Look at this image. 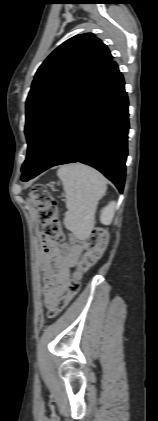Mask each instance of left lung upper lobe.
Wrapping results in <instances>:
<instances>
[{"instance_id": "left-lung-upper-lobe-1", "label": "left lung upper lobe", "mask_w": 158, "mask_h": 421, "mask_svg": "<svg viewBox=\"0 0 158 421\" xmlns=\"http://www.w3.org/2000/svg\"><path fill=\"white\" fill-rule=\"evenodd\" d=\"M110 51L92 33L76 35L39 67L26 101L28 151L22 172L34 160L50 126L95 73L112 59Z\"/></svg>"}]
</instances>
